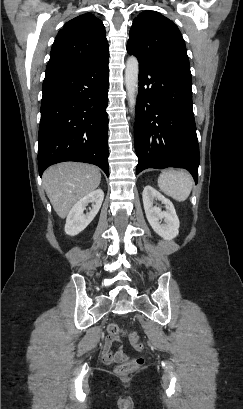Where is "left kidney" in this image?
Returning <instances> with one entry per match:
<instances>
[{"mask_svg": "<svg viewBox=\"0 0 243 409\" xmlns=\"http://www.w3.org/2000/svg\"><path fill=\"white\" fill-rule=\"evenodd\" d=\"M142 198L146 218L152 229L166 240L174 239L179 234L180 224L172 202L149 185L144 188ZM154 199L161 201L166 211L153 206Z\"/></svg>", "mask_w": 243, "mask_h": 409, "instance_id": "5707ae66", "label": "left kidney"}]
</instances>
